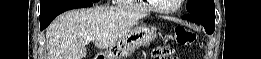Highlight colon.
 I'll list each match as a JSON object with an SVG mask.
<instances>
[{"mask_svg": "<svg viewBox=\"0 0 261 59\" xmlns=\"http://www.w3.org/2000/svg\"><path fill=\"white\" fill-rule=\"evenodd\" d=\"M174 41L179 45H190L195 42L196 35L190 29L177 26L173 32ZM173 49L168 45H159L154 48L152 58L154 59H174Z\"/></svg>", "mask_w": 261, "mask_h": 59, "instance_id": "1", "label": "colon"}]
</instances>
